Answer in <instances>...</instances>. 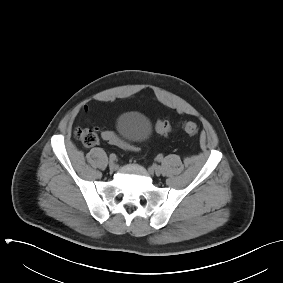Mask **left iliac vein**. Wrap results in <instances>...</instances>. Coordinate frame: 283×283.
I'll return each instance as SVG.
<instances>
[{
    "label": "left iliac vein",
    "instance_id": "left-iliac-vein-1",
    "mask_svg": "<svg viewBox=\"0 0 283 283\" xmlns=\"http://www.w3.org/2000/svg\"><path fill=\"white\" fill-rule=\"evenodd\" d=\"M155 175L160 176L162 173V168L160 166H152L150 169Z\"/></svg>",
    "mask_w": 283,
    "mask_h": 283
}]
</instances>
